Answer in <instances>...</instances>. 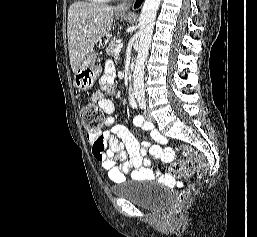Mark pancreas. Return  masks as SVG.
<instances>
[{
  "instance_id": "1",
  "label": "pancreas",
  "mask_w": 257,
  "mask_h": 237,
  "mask_svg": "<svg viewBox=\"0 0 257 237\" xmlns=\"http://www.w3.org/2000/svg\"><path fill=\"white\" fill-rule=\"evenodd\" d=\"M118 40L117 39H115V38H113L111 41H110V43H109V46L107 47V49H106V53H107V55H111V56H115L116 55V53H115V48H116V46L118 45Z\"/></svg>"
}]
</instances>
